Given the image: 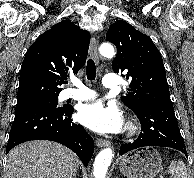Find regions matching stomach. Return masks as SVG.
<instances>
[{
	"mask_svg": "<svg viewBox=\"0 0 194 178\" xmlns=\"http://www.w3.org/2000/svg\"><path fill=\"white\" fill-rule=\"evenodd\" d=\"M120 172L127 178H154L162 169V158L152 147L133 150L120 157Z\"/></svg>",
	"mask_w": 194,
	"mask_h": 178,
	"instance_id": "obj_1",
	"label": "stomach"
}]
</instances>
